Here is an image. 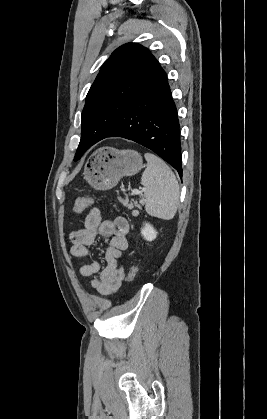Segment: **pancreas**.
<instances>
[{"label":"pancreas","instance_id":"pancreas-1","mask_svg":"<svg viewBox=\"0 0 267 419\" xmlns=\"http://www.w3.org/2000/svg\"><path fill=\"white\" fill-rule=\"evenodd\" d=\"M120 201H121V203L124 205V206H129V199H128V197H126L125 199H120ZM135 206L138 208V209H141V206H140V204H138V202H135Z\"/></svg>","mask_w":267,"mask_h":419}]
</instances>
